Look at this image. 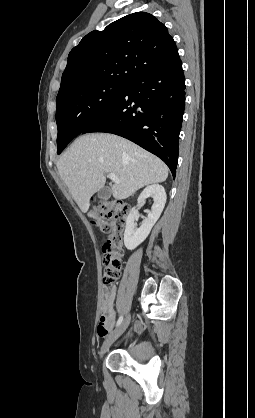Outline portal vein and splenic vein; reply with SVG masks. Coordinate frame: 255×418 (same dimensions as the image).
I'll list each match as a JSON object with an SVG mask.
<instances>
[{"label":"portal vein and splenic vein","mask_w":255,"mask_h":418,"mask_svg":"<svg viewBox=\"0 0 255 418\" xmlns=\"http://www.w3.org/2000/svg\"><path fill=\"white\" fill-rule=\"evenodd\" d=\"M108 177L116 183H119V179L116 177L114 173H109Z\"/></svg>","instance_id":"obj_1"}]
</instances>
